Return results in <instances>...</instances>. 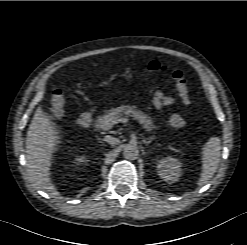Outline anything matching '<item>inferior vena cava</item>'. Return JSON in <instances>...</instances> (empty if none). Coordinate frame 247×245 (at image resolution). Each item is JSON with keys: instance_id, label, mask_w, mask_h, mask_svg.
<instances>
[{"instance_id": "obj_1", "label": "inferior vena cava", "mask_w": 247, "mask_h": 245, "mask_svg": "<svg viewBox=\"0 0 247 245\" xmlns=\"http://www.w3.org/2000/svg\"><path fill=\"white\" fill-rule=\"evenodd\" d=\"M103 141H105V142H107V143H109L111 145H115L118 142V140L116 138H114L112 136H109V135L105 136Z\"/></svg>"}]
</instances>
